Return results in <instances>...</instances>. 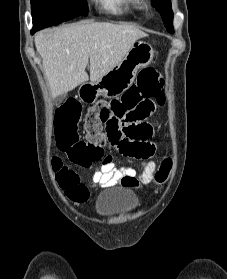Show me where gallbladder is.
Listing matches in <instances>:
<instances>
[{"label":"gallbladder","mask_w":227,"mask_h":279,"mask_svg":"<svg viewBox=\"0 0 227 279\" xmlns=\"http://www.w3.org/2000/svg\"><path fill=\"white\" fill-rule=\"evenodd\" d=\"M67 95L66 94H62L60 96H58L56 99H55V105L56 106H60L64 100L66 99Z\"/></svg>","instance_id":"bac80fb5"}]
</instances>
